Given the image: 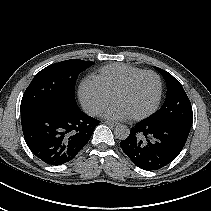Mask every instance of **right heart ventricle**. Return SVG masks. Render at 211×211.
<instances>
[{
    "label": "right heart ventricle",
    "mask_w": 211,
    "mask_h": 211,
    "mask_svg": "<svg viewBox=\"0 0 211 211\" xmlns=\"http://www.w3.org/2000/svg\"><path fill=\"white\" fill-rule=\"evenodd\" d=\"M143 71L135 66L114 63L100 68L94 78L112 95L129 78Z\"/></svg>",
    "instance_id": "obj_1"
}]
</instances>
